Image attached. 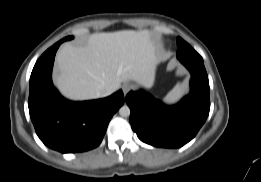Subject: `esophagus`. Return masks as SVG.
I'll list each match as a JSON object with an SVG mask.
<instances>
[{"instance_id": "esophagus-1", "label": "esophagus", "mask_w": 261, "mask_h": 182, "mask_svg": "<svg viewBox=\"0 0 261 182\" xmlns=\"http://www.w3.org/2000/svg\"><path fill=\"white\" fill-rule=\"evenodd\" d=\"M133 88L132 84H124L122 87V90L124 92V94L126 95L129 91H131Z\"/></svg>"}]
</instances>
